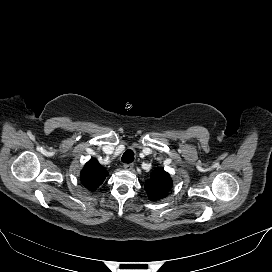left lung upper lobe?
<instances>
[{
    "mask_svg": "<svg viewBox=\"0 0 272 272\" xmlns=\"http://www.w3.org/2000/svg\"><path fill=\"white\" fill-rule=\"evenodd\" d=\"M172 187L170 175L163 169H156L151 173V178L145 183V190L152 201L166 197Z\"/></svg>",
    "mask_w": 272,
    "mask_h": 272,
    "instance_id": "1",
    "label": "left lung upper lobe"
}]
</instances>
